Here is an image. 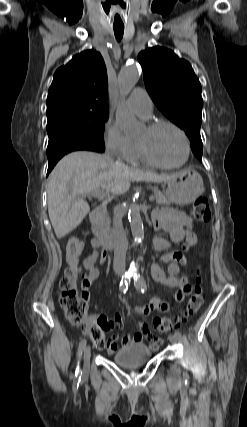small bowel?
Returning a JSON list of instances; mask_svg holds the SVG:
<instances>
[{
    "label": "small bowel",
    "mask_w": 247,
    "mask_h": 427,
    "mask_svg": "<svg viewBox=\"0 0 247 427\" xmlns=\"http://www.w3.org/2000/svg\"><path fill=\"white\" fill-rule=\"evenodd\" d=\"M153 221L156 229H163L169 234V240L162 237L154 239V247L159 252L167 251L173 244H177L185 240L189 245L194 246L197 243V236L194 232L192 219L183 212L174 211L172 209H160L153 215ZM92 246L94 251L83 260V266L86 270L82 280V296L85 300L90 298V288L92 283L99 277V269L97 264H103L107 259V252L99 250V244L93 239ZM184 256L177 251L166 252L159 261L153 263L151 274L153 278L170 288H176L175 302L180 303L185 296L189 294L191 288L188 279L180 276V268L178 263H184ZM161 263H167L168 275L165 273ZM169 310V304L159 298L152 299L149 303L138 305L135 312L140 316H147L153 311L166 312ZM89 322L99 324L104 331L112 330L115 326H123V317L120 313H116L113 319H108L106 315L97 313L89 316ZM139 330L134 334H125L121 341L124 346L132 343H142L147 339L150 348L154 351L158 350L162 344V339L153 334L148 324L139 322ZM118 337L114 336L107 343L106 350L112 354L117 350Z\"/></svg>",
    "instance_id": "obj_1"
}]
</instances>
